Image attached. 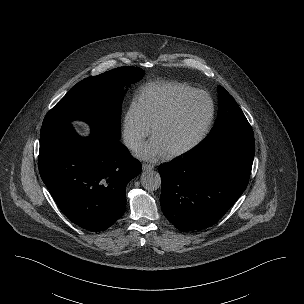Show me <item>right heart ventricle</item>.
Segmentation results:
<instances>
[{
	"instance_id": "1",
	"label": "right heart ventricle",
	"mask_w": 304,
	"mask_h": 304,
	"mask_svg": "<svg viewBox=\"0 0 304 304\" xmlns=\"http://www.w3.org/2000/svg\"><path fill=\"white\" fill-rule=\"evenodd\" d=\"M193 91V87L179 82L152 83L140 91L137 102L152 126L178 99Z\"/></svg>"
}]
</instances>
